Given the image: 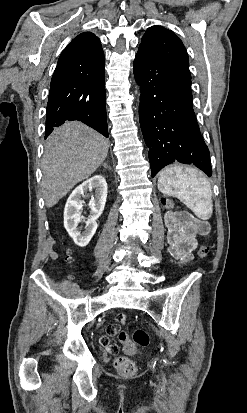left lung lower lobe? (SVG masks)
I'll list each match as a JSON object with an SVG mask.
<instances>
[{
    "mask_svg": "<svg viewBox=\"0 0 247 413\" xmlns=\"http://www.w3.org/2000/svg\"><path fill=\"white\" fill-rule=\"evenodd\" d=\"M134 75L141 87L139 119L152 177L173 162L194 164L210 177V154L193 110L191 77L140 50Z\"/></svg>",
    "mask_w": 247,
    "mask_h": 413,
    "instance_id": "left-lung-lower-lobe-1",
    "label": "left lung lower lobe"
}]
</instances>
